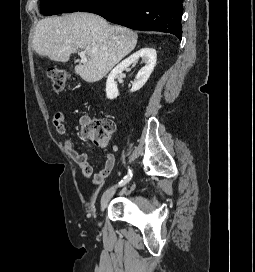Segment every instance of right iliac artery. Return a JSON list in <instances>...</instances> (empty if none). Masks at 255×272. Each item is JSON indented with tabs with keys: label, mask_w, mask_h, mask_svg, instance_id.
Returning <instances> with one entry per match:
<instances>
[{
	"label": "right iliac artery",
	"mask_w": 255,
	"mask_h": 272,
	"mask_svg": "<svg viewBox=\"0 0 255 272\" xmlns=\"http://www.w3.org/2000/svg\"><path fill=\"white\" fill-rule=\"evenodd\" d=\"M132 175H133L132 170L128 167L127 175L118 183V186H123L127 184L131 180Z\"/></svg>",
	"instance_id": "obj_1"
}]
</instances>
